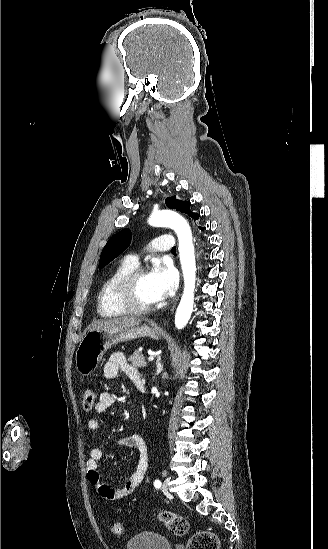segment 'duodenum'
Wrapping results in <instances>:
<instances>
[{
	"instance_id": "410a0bca",
	"label": "duodenum",
	"mask_w": 328,
	"mask_h": 549,
	"mask_svg": "<svg viewBox=\"0 0 328 549\" xmlns=\"http://www.w3.org/2000/svg\"><path fill=\"white\" fill-rule=\"evenodd\" d=\"M133 382H134L136 388H137L139 391H141V392H143V393L147 392L145 383L143 382V380L141 379L140 376L135 377V378L133 379Z\"/></svg>"
}]
</instances>
